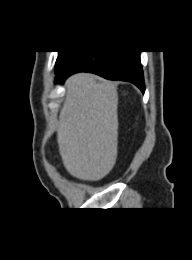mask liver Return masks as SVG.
I'll list each match as a JSON object with an SVG mask.
<instances>
[{
    "label": "liver",
    "mask_w": 192,
    "mask_h": 260,
    "mask_svg": "<svg viewBox=\"0 0 192 260\" xmlns=\"http://www.w3.org/2000/svg\"><path fill=\"white\" fill-rule=\"evenodd\" d=\"M57 142L66 170L81 180L96 181L113 168L117 157L118 95L108 81L77 73L65 83Z\"/></svg>",
    "instance_id": "1"
}]
</instances>
